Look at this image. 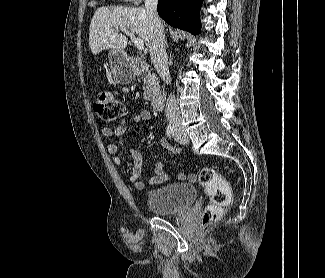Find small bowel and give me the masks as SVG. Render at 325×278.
<instances>
[{
  "mask_svg": "<svg viewBox=\"0 0 325 278\" xmlns=\"http://www.w3.org/2000/svg\"><path fill=\"white\" fill-rule=\"evenodd\" d=\"M151 113L148 110H141L133 116V121L136 124L143 122H150ZM128 130V121L127 118L120 121L114 128H103L102 134L105 137H113V136H121L124 135ZM160 145L175 154H182L183 150L177 147L171 146L166 140H161ZM107 151L112 156V161L115 165L122 164V158L118 155L119 148L116 143L107 144ZM130 155L132 157V170L130 172V181L134 185V187L138 190H142L144 188V184L139 181V177L142 173L143 168V158L142 155L133 149H130ZM183 174H177L175 176H170L164 171V163L162 161L156 162L154 166V175L150 179L149 184L151 186L162 185L172 178L176 179H184Z\"/></svg>",
  "mask_w": 325,
  "mask_h": 278,
  "instance_id": "small-bowel-1",
  "label": "small bowel"
}]
</instances>
